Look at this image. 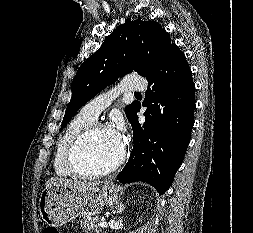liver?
I'll return each mask as SVG.
<instances>
[{"mask_svg": "<svg viewBox=\"0 0 253 233\" xmlns=\"http://www.w3.org/2000/svg\"><path fill=\"white\" fill-rule=\"evenodd\" d=\"M99 184V182H81L76 180H70L66 178H58V177H51L46 182V187L52 186V185H58V186H65L68 187L74 191H85L90 188H94Z\"/></svg>", "mask_w": 253, "mask_h": 233, "instance_id": "6515ba94", "label": "liver"}]
</instances>
